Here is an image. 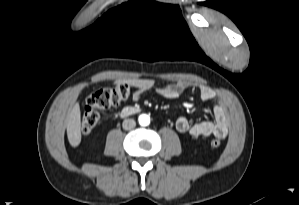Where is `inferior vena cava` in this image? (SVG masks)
<instances>
[{
  "label": "inferior vena cava",
  "instance_id": "obj_1",
  "mask_svg": "<svg viewBox=\"0 0 299 205\" xmlns=\"http://www.w3.org/2000/svg\"><path fill=\"white\" fill-rule=\"evenodd\" d=\"M122 126L125 130H132L136 126V122L133 119H125Z\"/></svg>",
  "mask_w": 299,
  "mask_h": 205
}]
</instances>
